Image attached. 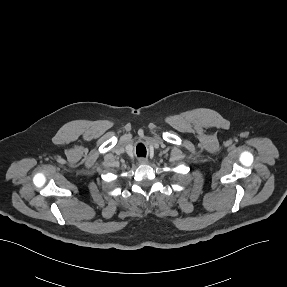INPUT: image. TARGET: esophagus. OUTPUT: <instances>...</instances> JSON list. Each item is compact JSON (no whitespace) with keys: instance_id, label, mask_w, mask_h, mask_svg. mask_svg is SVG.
Masks as SVG:
<instances>
[{"instance_id":"esophagus-1","label":"esophagus","mask_w":287,"mask_h":287,"mask_svg":"<svg viewBox=\"0 0 287 287\" xmlns=\"http://www.w3.org/2000/svg\"><path fill=\"white\" fill-rule=\"evenodd\" d=\"M139 163L142 164V165H145L148 163V159L147 158H144V157H141L138 159Z\"/></svg>"}]
</instances>
